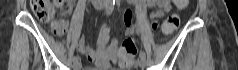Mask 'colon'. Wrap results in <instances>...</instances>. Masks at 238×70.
Instances as JSON below:
<instances>
[{
  "instance_id": "colon-1",
  "label": "colon",
  "mask_w": 238,
  "mask_h": 70,
  "mask_svg": "<svg viewBox=\"0 0 238 70\" xmlns=\"http://www.w3.org/2000/svg\"><path fill=\"white\" fill-rule=\"evenodd\" d=\"M59 3L60 1L31 0L30 7L37 18L48 21L52 19L55 13V6ZM175 3L176 7H185V4L188 3V0H175ZM178 22L179 19L177 15H171L163 22L162 32L164 34L171 33L178 26ZM122 41L124 42H120L118 54H115V59H119V65L122 68H128L132 65L133 56L136 53L134 36H131L130 33H127L126 36H122Z\"/></svg>"
}]
</instances>
